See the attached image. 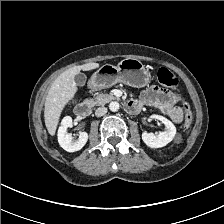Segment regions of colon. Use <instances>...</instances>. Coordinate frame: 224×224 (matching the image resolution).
<instances>
[{"label": "colon", "mask_w": 224, "mask_h": 224, "mask_svg": "<svg viewBox=\"0 0 224 224\" xmlns=\"http://www.w3.org/2000/svg\"><path fill=\"white\" fill-rule=\"evenodd\" d=\"M157 79L161 85H164L166 87H170L174 89L178 85V79L176 78V76L172 72H170L167 68H164V67H161L158 69ZM181 109H182L183 117L185 119V127H189L191 123V114H190V109L188 104L185 102H182Z\"/></svg>", "instance_id": "1"}]
</instances>
